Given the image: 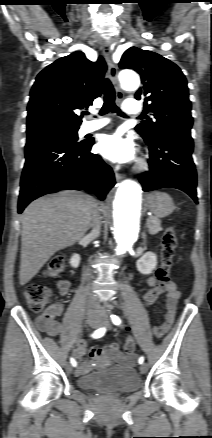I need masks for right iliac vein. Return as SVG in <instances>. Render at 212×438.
Masks as SVG:
<instances>
[{
	"label": "right iliac vein",
	"instance_id": "right-iliac-vein-1",
	"mask_svg": "<svg viewBox=\"0 0 212 438\" xmlns=\"http://www.w3.org/2000/svg\"><path fill=\"white\" fill-rule=\"evenodd\" d=\"M87 323L90 327L96 328L99 326V319L96 315H89L87 318ZM66 370L71 373L73 371V367L71 365L66 366ZM78 373V370L75 371V374Z\"/></svg>",
	"mask_w": 212,
	"mask_h": 438
}]
</instances>
